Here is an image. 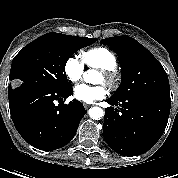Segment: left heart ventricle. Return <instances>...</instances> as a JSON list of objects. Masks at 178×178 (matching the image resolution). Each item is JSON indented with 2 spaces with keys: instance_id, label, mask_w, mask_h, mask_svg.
<instances>
[{
  "instance_id": "b2bd125f",
  "label": "left heart ventricle",
  "mask_w": 178,
  "mask_h": 178,
  "mask_svg": "<svg viewBox=\"0 0 178 178\" xmlns=\"http://www.w3.org/2000/svg\"><path fill=\"white\" fill-rule=\"evenodd\" d=\"M102 81H104V76L101 74L99 79H98V82H102Z\"/></svg>"
}]
</instances>
